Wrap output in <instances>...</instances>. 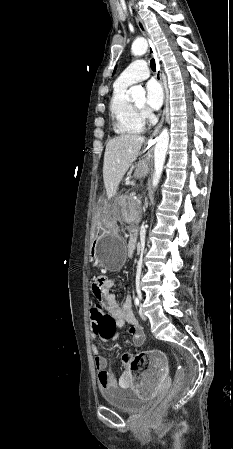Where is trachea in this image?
I'll return each instance as SVG.
<instances>
[{"label":"trachea","mask_w":233,"mask_h":449,"mask_svg":"<svg viewBox=\"0 0 233 449\" xmlns=\"http://www.w3.org/2000/svg\"><path fill=\"white\" fill-rule=\"evenodd\" d=\"M150 67L153 71H156V63L154 59H151L150 61Z\"/></svg>","instance_id":"obj_1"}]
</instances>
